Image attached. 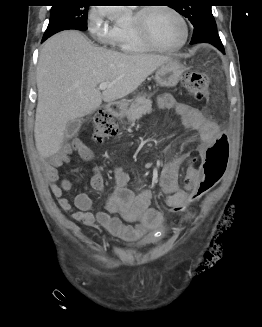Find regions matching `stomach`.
Returning a JSON list of instances; mask_svg holds the SVG:
<instances>
[{
	"mask_svg": "<svg viewBox=\"0 0 262 327\" xmlns=\"http://www.w3.org/2000/svg\"><path fill=\"white\" fill-rule=\"evenodd\" d=\"M184 72V66L177 60H171L161 65L156 73L155 80L158 85L164 87H174L179 82L182 73ZM126 113V104L120 105V115Z\"/></svg>",
	"mask_w": 262,
	"mask_h": 327,
	"instance_id": "obj_1",
	"label": "stomach"
}]
</instances>
